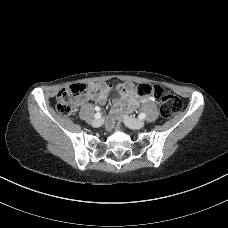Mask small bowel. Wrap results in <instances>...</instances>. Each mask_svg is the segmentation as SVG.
Returning a JSON list of instances; mask_svg holds the SVG:
<instances>
[{
	"instance_id": "obj_1",
	"label": "small bowel",
	"mask_w": 228,
	"mask_h": 228,
	"mask_svg": "<svg viewBox=\"0 0 228 228\" xmlns=\"http://www.w3.org/2000/svg\"><path fill=\"white\" fill-rule=\"evenodd\" d=\"M131 83H123L114 85L112 83L94 82L89 85V91L80 99L79 103L84 104L94 101L100 105H104L107 101L108 94L113 90L119 91V97L114 99L113 106L110 111V119H115L124 111L130 112L135 109L139 103H145L154 100V95L139 97L132 91Z\"/></svg>"
}]
</instances>
